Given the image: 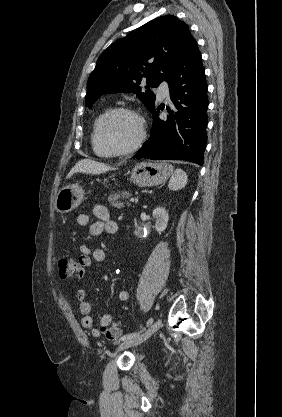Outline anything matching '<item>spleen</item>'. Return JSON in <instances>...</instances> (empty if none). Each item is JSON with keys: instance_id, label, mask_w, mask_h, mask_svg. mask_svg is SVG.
Wrapping results in <instances>:
<instances>
[{"instance_id": "spleen-1", "label": "spleen", "mask_w": 282, "mask_h": 417, "mask_svg": "<svg viewBox=\"0 0 282 417\" xmlns=\"http://www.w3.org/2000/svg\"><path fill=\"white\" fill-rule=\"evenodd\" d=\"M187 182V174L182 170V168H176L173 176H171L169 180V188L170 190H179V188H183Z\"/></svg>"}]
</instances>
